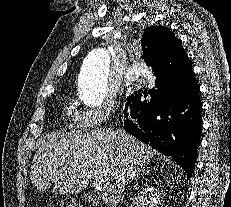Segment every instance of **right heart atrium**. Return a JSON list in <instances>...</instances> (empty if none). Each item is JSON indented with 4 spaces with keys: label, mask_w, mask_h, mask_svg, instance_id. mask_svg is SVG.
I'll return each mask as SVG.
<instances>
[{
    "label": "right heart atrium",
    "mask_w": 231,
    "mask_h": 207,
    "mask_svg": "<svg viewBox=\"0 0 231 207\" xmlns=\"http://www.w3.org/2000/svg\"><path fill=\"white\" fill-rule=\"evenodd\" d=\"M114 113V103L107 101L97 108L82 109L75 114L78 127L91 129L106 122Z\"/></svg>",
    "instance_id": "d8ad5b80"
}]
</instances>
